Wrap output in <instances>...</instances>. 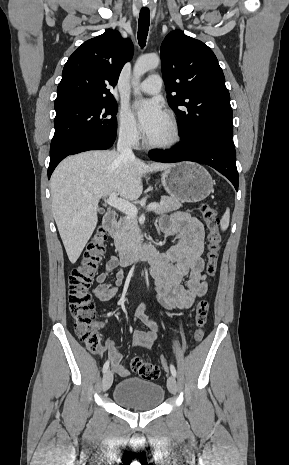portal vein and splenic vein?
<instances>
[{
	"instance_id": "1",
	"label": "portal vein and splenic vein",
	"mask_w": 289,
	"mask_h": 465,
	"mask_svg": "<svg viewBox=\"0 0 289 465\" xmlns=\"http://www.w3.org/2000/svg\"><path fill=\"white\" fill-rule=\"evenodd\" d=\"M105 203L125 213L128 217L135 218L137 216L138 210L136 206L125 199L118 198L116 193L110 194L109 198L105 200ZM157 207V203H151L148 205L147 210L152 211Z\"/></svg>"
}]
</instances>
